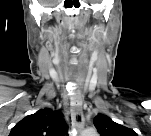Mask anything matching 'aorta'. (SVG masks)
<instances>
[{
	"instance_id": "762f6f07",
	"label": "aorta",
	"mask_w": 151,
	"mask_h": 136,
	"mask_svg": "<svg viewBox=\"0 0 151 136\" xmlns=\"http://www.w3.org/2000/svg\"><path fill=\"white\" fill-rule=\"evenodd\" d=\"M86 135H96V133L95 132H87V133H85Z\"/></svg>"
}]
</instances>
